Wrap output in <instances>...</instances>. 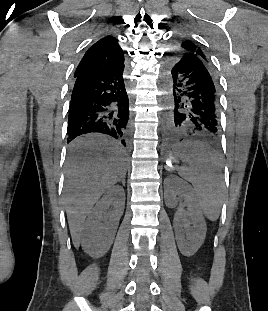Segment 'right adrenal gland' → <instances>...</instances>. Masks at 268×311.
Segmentation results:
<instances>
[{
	"label": "right adrenal gland",
	"mask_w": 268,
	"mask_h": 311,
	"mask_svg": "<svg viewBox=\"0 0 268 311\" xmlns=\"http://www.w3.org/2000/svg\"><path fill=\"white\" fill-rule=\"evenodd\" d=\"M122 185L125 186V178L121 179Z\"/></svg>",
	"instance_id": "obj_1"
}]
</instances>
